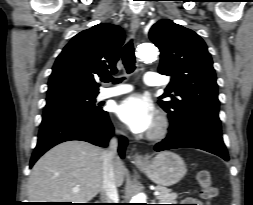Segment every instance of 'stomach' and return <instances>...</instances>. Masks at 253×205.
<instances>
[{"label": "stomach", "instance_id": "obj_1", "mask_svg": "<svg viewBox=\"0 0 253 205\" xmlns=\"http://www.w3.org/2000/svg\"><path fill=\"white\" fill-rule=\"evenodd\" d=\"M138 167L153 182L161 186H171L177 183L187 172L183 159L171 151L161 152Z\"/></svg>", "mask_w": 253, "mask_h": 205}]
</instances>
